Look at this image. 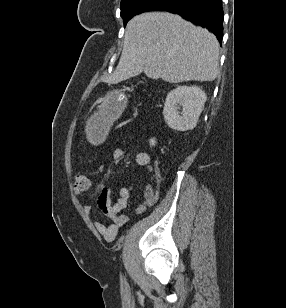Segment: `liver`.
<instances>
[{
    "mask_svg": "<svg viewBox=\"0 0 286 308\" xmlns=\"http://www.w3.org/2000/svg\"><path fill=\"white\" fill-rule=\"evenodd\" d=\"M215 35L167 12L133 17L126 26L119 63L108 82L139 75L170 83L213 81L218 75Z\"/></svg>",
    "mask_w": 286,
    "mask_h": 308,
    "instance_id": "6515ba94",
    "label": "liver"
}]
</instances>
